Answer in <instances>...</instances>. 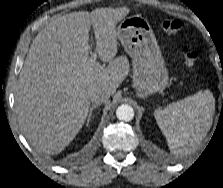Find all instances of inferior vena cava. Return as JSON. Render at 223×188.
Listing matches in <instances>:
<instances>
[{"instance_id":"1","label":"inferior vena cava","mask_w":223,"mask_h":188,"mask_svg":"<svg viewBox=\"0 0 223 188\" xmlns=\"http://www.w3.org/2000/svg\"><path fill=\"white\" fill-rule=\"evenodd\" d=\"M110 97V92L105 88H96L90 93V100L96 104L106 102Z\"/></svg>"}]
</instances>
